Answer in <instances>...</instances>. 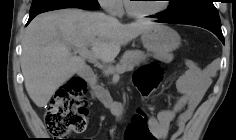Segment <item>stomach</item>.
Instances as JSON below:
<instances>
[{
    "instance_id": "obj_1",
    "label": "stomach",
    "mask_w": 236,
    "mask_h": 140,
    "mask_svg": "<svg viewBox=\"0 0 236 140\" xmlns=\"http://www.w3.org/2000/svg\"><path fill=\"white\" fill-rule=\"evenodd\" d=\"M144 47L157 56L166 55L176 50L181 44L179 34L172 28L155 24L141 34Z\"/></svg>"
}]
</instances>
